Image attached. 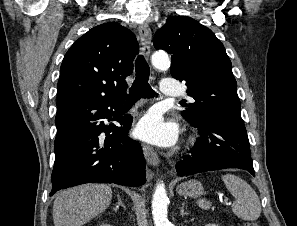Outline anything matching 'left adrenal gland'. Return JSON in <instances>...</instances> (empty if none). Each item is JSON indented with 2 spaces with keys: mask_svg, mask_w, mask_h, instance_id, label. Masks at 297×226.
<instances>
[{
  "mask_svg": "<svg viewBox=\"0 0 297 226\" xmlns=\"http://www.w3.org/2000/svg\"><path fill=\"white\" fill-rule=\"evenodd\" d=\"M184 207H185V202L182 203V207H181V209H180V215H181V216L188 215V212H186V211L184 210Z\"/></svg>",
  "mask_w": 297,
  "mask_h": 226,
  "instance_id": "obj_1",
  "label": "left adrenal gland"
}]
</instances>
